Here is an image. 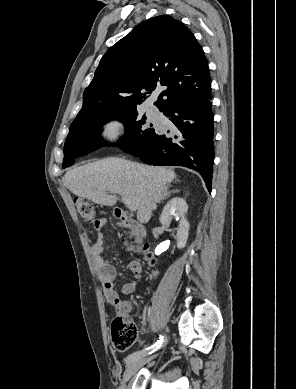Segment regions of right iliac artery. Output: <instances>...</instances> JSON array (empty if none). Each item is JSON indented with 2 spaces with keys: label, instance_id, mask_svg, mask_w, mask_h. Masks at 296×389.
Masks as SVG:
<instances>
[{
  "label": "right iliac artery",
  "instance_id": "right-iliac-artery-1",
  "mask_svg": "<svg viewBox=\"0 0 296 389\" xmlns=\"http://www.w3.org/2000/svg\"><path fill=\"white\" fill-rule=\"evenodd\" d=\"M164 343V338L162 336H160V340L157 341L154 345H152L151 347H148L146 349H143L141 351H137V352H134L132 353L131 355L128 356V358L126 359V362L127 364L133 362L134 360H136L137 358H140V357H144L148 354H152L153 352H155L157 349H159Z\"/></svg>",
  "mask_w": 296,
  "mask_h": 389
}]
</instances>
